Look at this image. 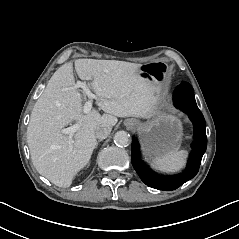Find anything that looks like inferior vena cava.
I'll return each instance as SVG.
<instances>
[{"mask_svg": "<svg viewBox=\"0 0 239 239\" xmlns=\"http://www.w3.org/2000/svg\"><path fill=\"white\" fill-rule=\"evenodd\" d=\"M111 127L109 125H101L95 130V137L97 139H105L111 132Z\"/></svg>", "mask_w": 239, "mask_h": 239, "instance_id": "602c4592", "label": "inferior vena cava"}]
</instances>
